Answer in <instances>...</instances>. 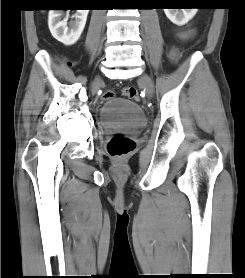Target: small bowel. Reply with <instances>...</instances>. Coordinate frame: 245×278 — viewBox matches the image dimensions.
I'll use <instances>...</instances> for the list:
<instances>
[{"label": "small bowel", "instance_id": "c3829d8e", "mask_svg": "<svg viewBox=\"0 0 245 278\" xmlns=\"http://www.w3.org/2000/svg\"><path fill=\"white\" fill-rule=\"evenodd\" d=\"M194 34V31H189L187 34H185L184 36L185 37H190V36H192ZM178 58V52H176V51H174L173 53H172V59L173 60H176Z\"/></svg>", "mask_w": 245, "mask_h": 278}]
</instances>
